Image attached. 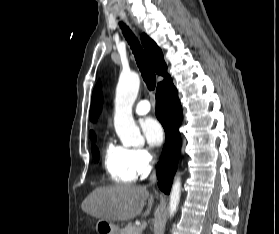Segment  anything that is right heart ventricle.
Listing matches in <instances>:
<instances>
[{
    "instance_id": "1",
    "label": "right heart ventricle",
    "mask_w": 279,
    "mask_h": 234,
    "mask_svg": "<svg viewBox=\"0 0 279 234\" xmlns=\"http://www.w3.org/2000/svg\"><path fill=\"white\" fill-rule=\"evenodd\" d=\"M103 164L108 176L115 183H132L137 179L132 149L126 146L108 141L103 151Z\"/></svg>"
}]
</instances>
